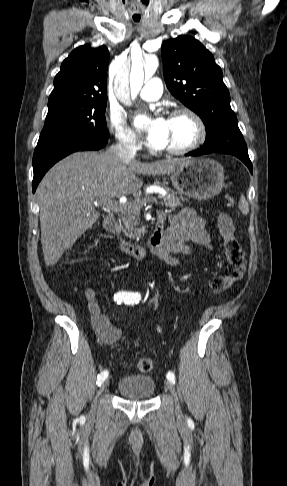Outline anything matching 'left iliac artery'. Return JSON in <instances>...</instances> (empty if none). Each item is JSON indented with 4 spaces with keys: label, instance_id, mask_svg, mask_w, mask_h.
<instances>
[{
    "label": "left iliac artery",
    "instance_id": "44dca946",
    "mask_svg": "<svg viewBox=\"0 0 287 486\" xmlns=\"http://www.w3.org/2000/svg\"><path fill=\"white\" fill-rule=\"evenodd\" d=\"M139 301L138 297H135L134 299H130L127 301V304H137ZM167 379L170 381V383L175 384V375L173 372L169 371L167 373Z\"/></svg>",
    "mask_w": 287,
    "mask_h": 486
}]
</instances>
